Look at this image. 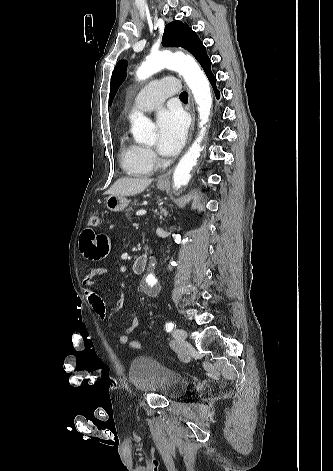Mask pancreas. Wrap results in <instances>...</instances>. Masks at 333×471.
I'll use <instances>...</instances> for the list:
<instances>
[{
    "label": "pancreas",
    "mask_w": 333,
    "mask_h": 471,
    "mask_svg": "<svg viewBox=\"0 0 333 471\" xmlns=\"http://www.w3.org/2000/svg\"><path fill=\"white\" fill-rule=\"evenodd\" d=\"M138 205H140V203H138L137 201H134L132 205L126 210V216H129L130 212L133 211V207L138 206Z\"/></svg>",
    "instance_id": "cf45deb5"
}]
</instances>
